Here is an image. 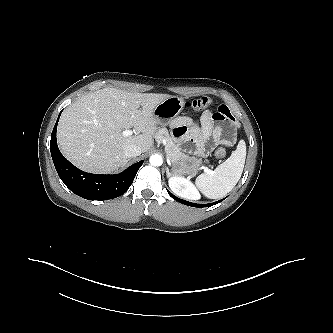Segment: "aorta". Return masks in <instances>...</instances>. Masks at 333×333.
<instances>
[{
	"label": "aorta",
	"instance_id": "1",
	"mask_svg": "<svg viewBox=\"0 0 333 333\" xmlns=\"http://www.w3.org/2000/svg\"><path fill=\"white\" fill-rule=\"evenodd\" d=\"M149 161L152 166H161L163 159L160 155L155 154L150 157Z\"/></svg>",
	"mask_w": 333,
	"mask_h": 333
}]
</instances>
